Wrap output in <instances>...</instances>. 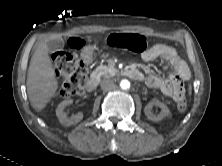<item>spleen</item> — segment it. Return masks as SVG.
Masks as SVG:
<instances>
[{"instance_id":"1","label":"spleen","mask_w":222,"mask_h":166,"mask_svg":"<svg viewBox=\"0 0 222 166\" xmlns=\"http://www.w3.org/2000/svg\"><path fill=\"white\" fill-rule=\"evenodd\" d=\"M189 94H191V86H189Z\"/></svg>"}]
</instances>
